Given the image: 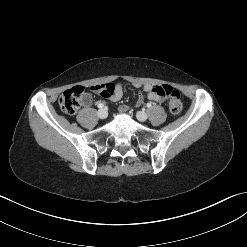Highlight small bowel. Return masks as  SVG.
Instances as JSON below:
<instances>
[{"mask_svg":"<svg viewBox=\"0 0 247 247\" xmlns=\"http://www.w3.org/2000/svg\"><path fill=\"white\" fill-rule=\"evenodd\" d=\"M132 86L135 87V88L142 89L144 93L146 91L145 90L146 87H148V86L151 87V88L153 87V85H151V84H141V83H138V82H133L132 83ZM100 95H102L103 97L109 99L112 102H117V101L121 100V98L123 97V85L120 82H117V83H109L108 90L106 92H104L103 94H100ZM146 97L149 100H151L150 97H148V96H146ZM84 103L86 105H89L91 103V97L89 95H87ZM127 109H128L127 106H121L120 107V111H126Z\"/></svg>","mask_w":247,"mask_h":247,"instance_id":"1","label":"small bowel"}]
</instances>
